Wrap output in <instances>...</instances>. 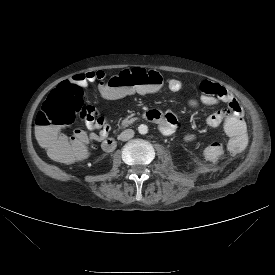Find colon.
Returning a JSON list of instances; mask_svg holds the SVG:
<instances>
[{
	"instance_id": "colon-1",
	"label": "colon",
	"mask_w": 275,
	"mask_h": 275,
	"mask_svg": "<svg viewBox=\"0 0 275 275\" xmlns=\"http://www.w3.org/2000/svg\"><path fill=\"white\" fill-rule=\"evenodd\" d=\"M163 87L159 72L137 69L103 81L100 91L110 100L120 97L131 100L155 95ZM83 94L84 89L78 83L64 81L51 91L36 116L38 140L55 160L68 158L79 144L76 139L65 136L62 129L74 124L76 119L85 121L94 113L93 107L84 105Z\"/></svg>"
}]
</instances>
